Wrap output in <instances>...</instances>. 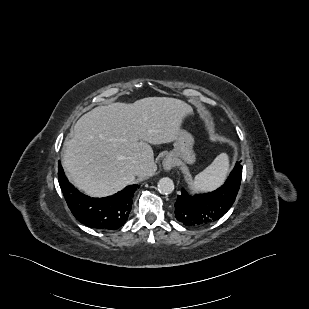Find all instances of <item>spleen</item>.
<instances>
[{
	"mask_svg": "<svg viewBox=\"0 0 309 309\" xmlns=\"http://www.w3.org/2000/svg\"><path fill=\"white\" fill-rule=\"evenodd\" d=\"M229 170V158L226 153H221L202 172L196 175L193 188L200 191H211L219 187Z\"/></svg>",
	"mask_w": 309,
	"mask_h": 309,
	"instance_id": "3e777b00",
	"label": "spleen"
}]
</instances>
